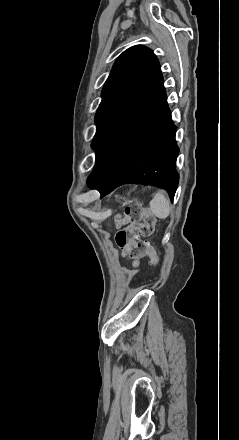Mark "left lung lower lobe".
Instances as JSON below:
<instances>
[{
  "mask_svg": "<svg viewBox=\"0 0 239 440\" xmlns=\"http://www.w3.org/2000/svg\"><path fill=\"white\" fill-rule=\"evenodd\" d=\"M176 129L160 75L98 143L88 186L103 197L123 184L158 183L173 200L179 181Z\"/></svg>",
  "mask_w": 239,
  "mask_h": 440,
  "instance_id": "0a47b994",
  "label": "left lung lower lobe"
}]
</instances>
